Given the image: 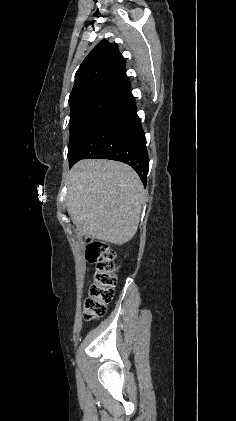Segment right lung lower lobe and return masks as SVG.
Segmentation results:
<instances>
[{
  "label": "right lung lower lobe",
  "instance_id": "obj_1",
  "mask_svg": "<svg viewBox=\"0 0 236 421\" xmlns=\"http://www.w3.org/2000/svg\"><path fill=\"white\" fill-rule=\"evenodd\" d=\"M122 87L129 92L131 90L127 80ZM136 111L135 98L130 92L81 142L70 160V167L85 158L117 160L132 166L146 185L149 158L146 139Z\"/></svg>",
  "mask_w": 236,
  "mask_h": 421
}]
</instances>
